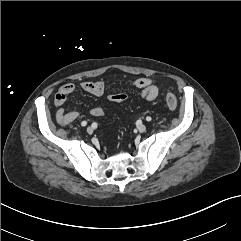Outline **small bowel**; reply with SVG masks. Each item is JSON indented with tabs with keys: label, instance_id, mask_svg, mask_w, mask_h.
<instances>
[{
	"label": "small bowel",
	"instance_id": "obj_1",
	"mask_svg": "<svg viewBox=\"0 0 241 241\" xmlns=\"http://www.w3.org/2000/svg\"><path fill=\"white\" fill-rule=\"evenodd\" d=\"M132 85L140 91L141 97L147 101L155 100L160 93V88L156 81L148 77L138 78L132 82ZM80 88L94 96H102L107 90V84L103 80L82 81L80 83ZM75 89L76 86L72 83L64 84L59 88L54 97V104L59 108L56 113V119L57 122L61 125L70 124L77 120L80 116L76 111H68L62 108L68 96L71 95ZM90 113L94 117H101L103 116L104 111L101 107L97 106L92 108Z\"/></svg>",
	"mask_w": 241,
	"mask_h": 241
}]
</instances>
